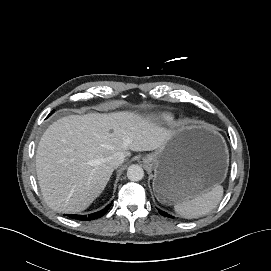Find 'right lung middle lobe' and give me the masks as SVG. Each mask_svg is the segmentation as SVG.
Returning <instances> with one entry per match:
<instances>
[{
	"label": "right lung middle lobe",
	"mask_w": 271,
	"mask_h": 271,
	"mask_svg": "<svg viewBox=\"0 0 271 271\" xmlns=\"http://www.w3.org/2000/svg\"><path fill=\"white\" fill-rule=\"evenodd\" d=\"M54 112V110L48 115V117Z\"/></svg>",
	"instance_id": "1"
}]
</instances>
